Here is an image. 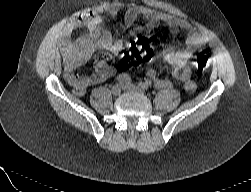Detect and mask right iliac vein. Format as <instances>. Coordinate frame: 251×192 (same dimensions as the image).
Listing matches in <instances>:
<instances>
[{"label":"right iliac vein","instance_id":"right-iliac-vein-1","mask_svg":"<svg viewBox=\"0 0 251 192\" xmlns=\"http://www.w3.org/2000/svg\"><path fill=\"white\" fill-rule=\"evenodd\" d=\"M111 93L114 95V96H118L120 95L121 93V86L119 84H116L112 87L111 89Z\"/></svg>","mask_w":251,"mask_h":192}]
</instances>
